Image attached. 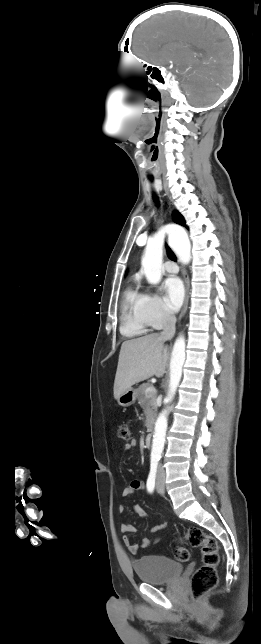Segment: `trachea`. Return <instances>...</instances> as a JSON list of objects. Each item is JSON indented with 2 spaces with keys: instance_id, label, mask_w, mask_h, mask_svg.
<instances>
[{
  "instance_id": "obj_1",
  "label": "trachea",
  "mask_w": 261,
  "mask_h": 644,
  "mask_svg": "<svg viewBox=\"0 0 261 644\" xmlns=\"http://www.w3.org/2000/svg\"><path fill=\"white\" fill-rule=\"evenodd\" d=\"M167 254H168V257L171 260L176 261V256H175V254L173 253V251L169 247H167Z\"/></svg>"
}]
</instances>
